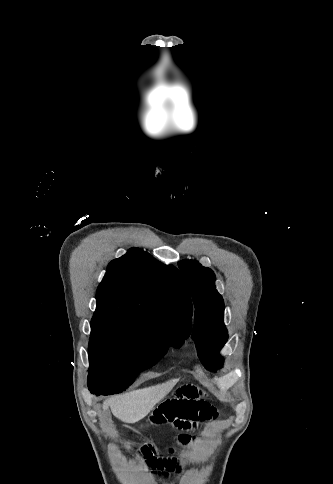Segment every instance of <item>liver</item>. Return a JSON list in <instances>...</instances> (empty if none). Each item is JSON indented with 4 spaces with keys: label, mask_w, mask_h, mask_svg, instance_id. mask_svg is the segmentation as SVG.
<instances>
[{
    "label": "liver",
    "mask_w": 333,
    "mask_h": 484,
    "mask_svg": "<svg viewBox=\"0 0 333 484\" xmlns=\"http://www.w3.org/2000/svg\"><path fill=\"white\" fill-rule=\"evenodd\" d=\"M177 381L178 379H171L151 387L112 396L104 401L103 409L110 407L113 415L123 422L136 423L168 395Z\"/></svg>",
    "instance_id": "liver-1"
}]
</instances>
